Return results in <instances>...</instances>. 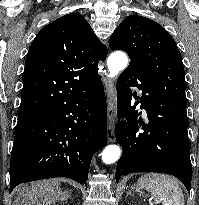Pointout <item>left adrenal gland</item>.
I'll return each mask as SVG.
<instances>
[{"label": "left adrenal gland", "instance_id": "obj_1", "mask_svg": "<svg viewBox=\"0 0 199 205\" xmlns=\"http://www.w3.org/2000/svg\"><path fill=\"white\" fill-rule=\"evenodd\" d=\"M128 195H133L132 191H128V192H127V196H128Z\"/></svg>", "mask_w": 199, "mask_h": 205}]
</instances>
